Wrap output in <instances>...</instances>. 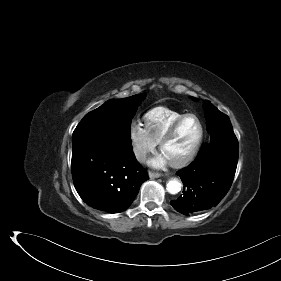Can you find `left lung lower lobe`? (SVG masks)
<instances>
[{
  "mask_svg": "<svg viewBox=\"0 0 281 281\" xmlns=\"http://www.w3.org/2000/svg\"><path fill=\"white\" fill-rule=\"evenodd\" d=\"M237 162L238 146H203L195 161L177 172L184 185L183 194L171 205L184 215L216 206L231 187Z\"/></svg>",
  "mask_w": 281,
  "mask_h": 281,
  "instance_id": "0a47b994",
  "label": "left lung lower lobe"
}]
</instances>
